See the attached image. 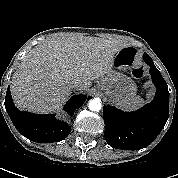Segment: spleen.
<instances>
[{"label": "spleen", "instance_id": "3e777b00", "mask_svg": "<svg viewBox=\"0 0 178 178\" xmlns=\"http://www.w3.org/2000/svg\"><path fill=\"white\" fill-rule=\"evenodd\" d=\"M147 97H151V94H147ZM143 99L139 96H133L120 103V106L126 109H135L143 103Z\"/></svg>", "mask_w": 178, "mask_h": 178}]
</instances>
